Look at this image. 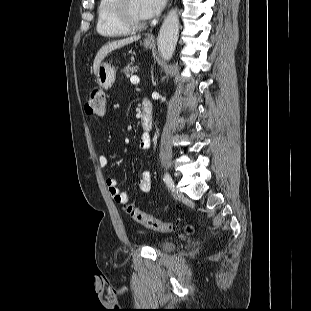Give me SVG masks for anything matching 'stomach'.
<instances>
[{
    "label": "stomach",
    "mask_w": 311,
    "mask_h": 311,
    "mask_svg": "<svg viewBox=\"0 0 311 311\" xmlns=\"http://www.w3.org/2000/svg\"><path fill=\"white\" fill-rule=\"evenodd\" d=\"M145 48H151L153 44L148 42L147 40L143 43ZM96 81L104 89H109L113 83L115 82L116 78V70L115 67L109 63H100L98 69L96 71Z\"/></svg>",
    "instance_id": "obj_1"
}]
</instances>
